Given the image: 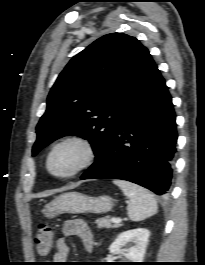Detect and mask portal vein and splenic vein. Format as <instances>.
I'll return each mask as SVG.
<instances>
[{
	"label": "portal vein and splenic vein",
	"instance_id": "portal-vein-and-splenic-vein-1",
	"mask_svg": "<svg viewBox=\"0 0 205 265\" xmlns=\"http://www.w3.org/2000/svg\"><path fill=\"white\" fill-rule=\"evenodd\" d=\"M111 221H112L113 223H120V222H121V219H120V218H115V217H113V218L111 219Z\"/></svg>",
	"mask_w": 205,
	"mask_h": 265
}]
</instances>
